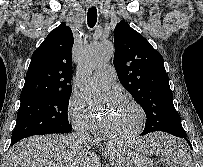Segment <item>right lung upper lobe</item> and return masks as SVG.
<instances>
[{"label": "right lung upper lobe", "mask_w": 203, "mask_h": 167, "mask_svg": "<svg viewBox=\"0 0 203 167\" xmlns=\"http://www.w3.org/2000/svg\"><path fill=\"white\" fill-rule=\"evenodd\" d=\"M73 42L72 31L65 23L49 33L32 55L20 101L72 92Z\"/></svg>", "instance_id": "cb5924a9"}]
</instances>
